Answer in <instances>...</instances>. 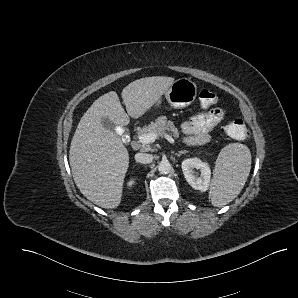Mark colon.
<instances>
[{
  "label": "colon",
  "mask_w": 298,
  "mask_h": 298,
  "mask_svg": "<svg viewBox=\"0 0 298 298\" xmlns=\"http://www.w3.org/2000/svg\"><path fill=\"white\" fill-rule=\"evenodd\" d=\"M217 101V96L214 92L203 89L199 93V102L202 107L208 108L214 105ZM225 132L228 136L236 140H245L249 137L248 129L242 119H235L229 122L225 127Z\"/></svg>",
  "instance_id": "colon-1"
}]
</instances>
